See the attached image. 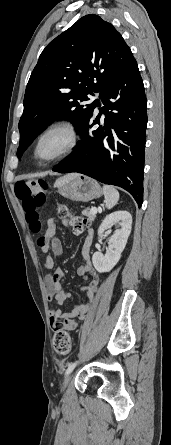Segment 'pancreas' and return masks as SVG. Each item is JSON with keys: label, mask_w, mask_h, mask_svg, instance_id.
Here are the masks:
<instances>
[{"label": "pancreas", "mask_w": 171, "mask_h": 445, "mask_svg": "<svg viewBox=\"0 0 171 445\" xmlns=\"http://www.w3.org/2000/svg\"><path fill=\"white\" fill-rule=\"evenodd\" d=\"M82 214L84 215V216H86L89 220H91V221H94V219H95V214H91V212L89 211V209H84L83 210V212H82Z\"/></svg>", "instance_id": "pancreas-1"}]
</instances>
